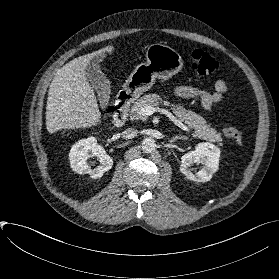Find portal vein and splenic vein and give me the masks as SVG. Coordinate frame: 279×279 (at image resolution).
<instances>
[{
  "mask_svg": "<svg viewBox=\"0 0 279 279\" xmlns=\"http://www.w3.org/2000/svg\"><path fill=\"white\" fill-rule=\"evenodd\" d=\"M158 110V108H155V107H152V106H145V107H142L141 110H140V113L143 115V116H150V115H153L154 112H156ZM168 117L178 126L180 127L182 130L184 131H190L188 129L187 126H185L183 123H181V121H179L178 119H176L173 115L169 114L168 112H165Z\"/></svg>",
  "mask_w": 279,
  "mask_h": 279,
  "instance_id": "1",
  "label": "portal vein and splenic vein"
}]
</instances>
